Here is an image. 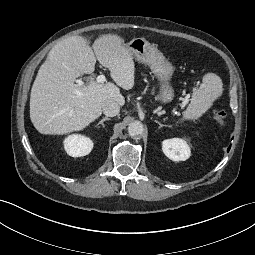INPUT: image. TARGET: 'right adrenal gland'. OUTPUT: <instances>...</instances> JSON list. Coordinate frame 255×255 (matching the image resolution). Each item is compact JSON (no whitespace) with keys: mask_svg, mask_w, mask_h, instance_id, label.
<instances>
[{"mask_svg":"<svg viewBox=\"0 0 255 255\" xmlns=\"http://www.w3.org/2000/svg\"><path fill=\"white\" fill-rule=\"evenodd\" d=\"M106 120H110V118H108V117L102 118L101 121L98 122L97 126L102 125V127H104V121H106Z\"/></svg>","mask_w":255,"mask_h":255,"instance_id":"2a0ac1e0","label":"right adrenal gland"}]
</instances>
